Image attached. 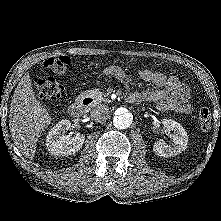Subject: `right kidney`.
I'll list each match as a JSON object with an SVG mask.
<instances>
[{"label": "right kidney", "mask_w": 221, "mask_h": 221, "mask_svg": "<svg viewBox=\"0 0 221 221\" xmlns=\"http://www.w3.org/2000/svg\"><path fill=\"white\" fill-rule=\"evenodd\" d=\"M71 122L67 119L59 121L46 137V146L52 155H72L75 154L84 144V135H66L70 130Z\"/></svg>", "instance_id": "right-kidney-1"}]
</instances>
